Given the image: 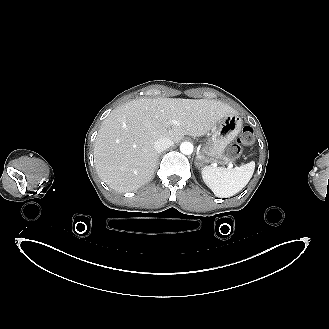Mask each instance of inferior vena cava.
I'll use <instances>...</instances> for the list:
<instances>
[{"label": "inferior vena cava", "mask_w": 329, "mask_h": 329, "mask_svg": "<svg viewBox=\"0 0 329 329\" xmlns=\"http://www.w3.org/2000/svg\"><path fill=\"white\" fill-rule=\"evenodd\" d=\"M173 144L174 143L170 138L161 137L155 141L154 148L158 153H160V152L166 150L167 148L173 146Z\"/></svg>", "instance_id": "602c4592"}]
</instances>
